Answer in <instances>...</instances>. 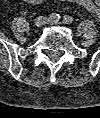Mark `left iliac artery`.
<instances>
[{
  "label": "left iliac artery",
  "mask_w": 100,
  "mask_h": 118,
  "mask_svg": "<svg viewBox=\"0 0 100 118\" xmlns=\"http://www.w3.org/2000/svg\"><path fill=\"white\" fill-rule=\"evenodd\" d=\"M73 22V18L69 15H65L63 17V23L64 24H71Z\"/></svg>",
  "instance_id": "1"
}]
</instances>
